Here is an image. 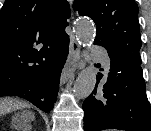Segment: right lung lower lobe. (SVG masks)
I'll return each mask as SVG.
<instances>
[{"mask_svg": "<svg viewBox=\"0 0 151 131\" xmlns=\"http://www.w3.org/2000/svg\"><path fill=\"white\" fill-rule=\"evenodd\" d=\"M69 39L56 44L49 51L46 63L31 76L26 77L6 92L3 96L26 99L44 112H49L56 101L61 70L68 55Z\"/></svg>", "mask_w": 151, "mask_h": 131, "instance_id": "obj_1", "label": "right lung lower lobe"}]
</instances>
